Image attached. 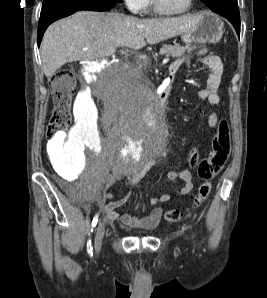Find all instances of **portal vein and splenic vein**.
<instances>
[{"label":"portal vein and splenic vein","mask_w":267,"mask_h":298,"mask_svg":"<svg viewBox=\"0 0 267 298\" xmlns=\"http://www.w3.org/2000/svg\"><path fill=\"white\" fill-rule=\"evenodd\" d=\"M168 60H169V58H165V59H164V62H167Z\"/></svg>","instance_id":"obj_1"}]
</instances>
